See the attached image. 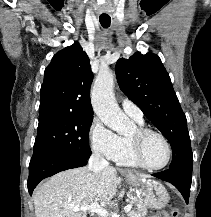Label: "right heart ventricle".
<instances>
[{
  "label": "right heart ventricle",
  "instance_id": "obj_1",
  "mask_svg": "<svg viewBox=\"0 0 211 217\" xmlns=\"http://www.w3.org/2000/svg\"><path fill=\"white\" fill-rule=\"evenodd\" d=\"M134 121L138 124L139 128H144V121L134 119ZM114 161L120 166L127 167H138V163L135 161L130 145V137L124 136L121 137V146L114 158Z\"/></svg>",
  "mask_w": 211,
  "mask_h": 217
}]
</instances>
